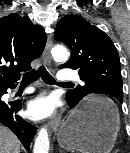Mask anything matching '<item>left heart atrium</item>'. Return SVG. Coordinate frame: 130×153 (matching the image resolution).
<instances>
[{"instance_id": "obj_1", "label": "left heart atrium", "mask_w": 130, "mask_h": 153, "mask_svg": "<svg viewBox=\"0 0 130 153\" xmlns=\"http://www.w3.org/2000/svg\"><path fill=\"white\" fill-rule=\"evenodd\" d=\"M55 100L49 95H41L29 103L28 113L34 119H44L54 113Z\"/></svg>"}]
</instances>
